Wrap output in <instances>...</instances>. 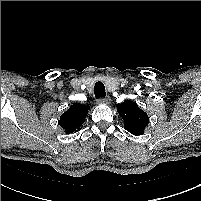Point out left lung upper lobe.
I'll use <instances>...</instances> for the list:
<instances>
[{
    "label": "left lung upper lobe",
    "mask_w": 201,
    "mask_h": 201,
    "mask_svg": "<svg viewBox=\"0 0 201 201\" xmlns=\"http://www.w3.org/2000/svg\"><path fill=\"white\" fill-rule=\"evenodd\" d=\"M117 111L124 120V128L133 135H142L149 123L147 114L138 105L126 100L117 104Z\"/></svg>",
    "instance_id": "obj_1"
}]
</instances>
